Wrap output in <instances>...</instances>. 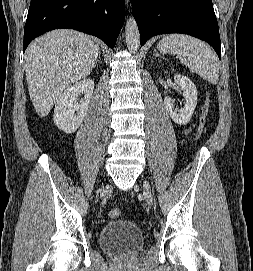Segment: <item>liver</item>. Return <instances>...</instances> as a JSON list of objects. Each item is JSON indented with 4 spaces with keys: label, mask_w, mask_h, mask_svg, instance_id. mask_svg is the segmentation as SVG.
I'll return each instance as SVG.
<instances>
[{
    "label": "liver",
    "mask_w": 253,
    "mask_h": 271,
    "mask_svg": "<svg viewBox=\"0 0 253 271\" xmlns=\"http://www.w3.org/2000/svg\"><path fill=\"white\" fill-rule=\"evenodd\" d=\"M100 52L89 36L59 29L31 42L25 53L28 91L37 114H49L60 96L92 72Z\"/></svg>",
    "instance_id": "6515ba94"
}]
</instances>
